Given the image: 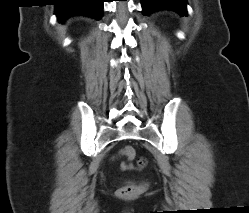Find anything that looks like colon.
Instances as JSON below:
<instances>
[{
	"label": "colon",
	"instance_id": "1",
	"mask_svg": "<svg viewBox=\"0 0 249 213\" xmlns=\"http://www.w3.org/2000/svg\"><path fill=\"white\" fill-rule=\"evenodd\" d=\"M121 153L125 155L128 159H132L135 155V151L131 146H125L122 148ZM145 160L143 158H140L138 160V165L140 167L144 166ZM138 192V188L136 186L132 185H126L121 187L118 190V195L122 198H131L136 195Z\"/></svg>",
	"mask_w": 249,
	"mask_h": 213
}]
</instances>
